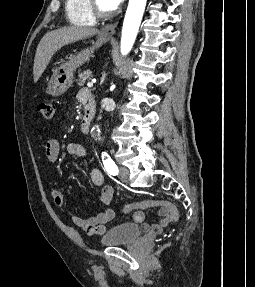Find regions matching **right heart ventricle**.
Listing matches in <instances>:
<instances>
[{"mask_svg": "<svg viewBox=\"0 0 255 287\" xmlns=\"http://www.w3.org/2000/svg\"><path fill=\"white\" fill-rule=\"evenodd\" d=\"M77 33H88V32H77ZM89 39H97V38H89ZM99 48H107V47H99Z\"/></svg>", "mask_w": 255, "mask_h": 287, "instance_id": "e07e8e85", "label": "right heart ventricle"}]
</instances>
